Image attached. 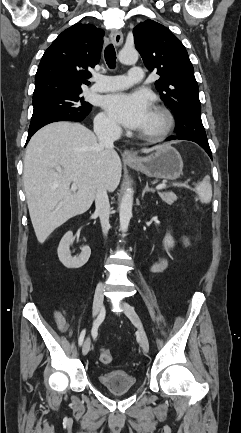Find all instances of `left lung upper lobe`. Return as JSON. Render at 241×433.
<instances>
[{
    "label": "left lung upper lobe",
    "mask_w": 241,
    "mask_h": 433,
    "mask_svg": "<svg viewBox=\"0 0 241 433\" xmlns=\"http://www.w3.org/2000/svg\"><path fill=\"white\" fill-rule=\"evenodd\" d=\"M133 34L145 66L161 76L155 86L176 117L178 137L209 146L201 120L198 84L184 45L153 20L137 25Z\"/></svg>",
    "instance_id": "5c2ea615"
}]
</instances>
